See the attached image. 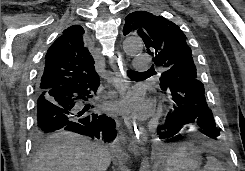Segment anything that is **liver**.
I'll use <instances>...</instances> for the list:
<instances>
[{"instance_id":"6515ba94","label":"liver","mask_w":245,"mask_h":171,"mask_svg":"<svg viewBox=\"0 0 245 171\" xmlns=\"http://www.w3.org/2000/svg\"><path fill=\"white\" fill-rule=\"evenodd\" d=\"M110 152L70 132L51 135L35 155L31 171H106Z\"/></svg>"}]
</instances>
